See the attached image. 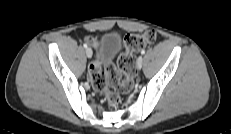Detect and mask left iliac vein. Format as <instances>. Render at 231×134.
<instances>
[{"instance_id":"4c4485c4","label":"left iliac vein","mask_w":231,"mask_h":134,"mask_svg":"<svg viewBox=\"0 0 231 134\" xmlns=\"http://www.w3.org/2000/svg\"><path fill=\"white\" fill-rule=\"evenodd\" d=\"M142 64H143V58H142V56H140V57L138 58V60H137V67H138L139 69H141V68H142Z\"/></svg>"}]
</instances>
